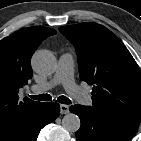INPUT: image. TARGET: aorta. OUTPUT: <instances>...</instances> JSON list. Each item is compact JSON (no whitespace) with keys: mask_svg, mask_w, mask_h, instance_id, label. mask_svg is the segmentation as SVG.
<instances>
[{"mask_svg":"<svg viewBox=\"0 0 141 141\" xmlns=\"http://www.w3.org/2000/svg\"><path fill=\"white\" fill-rule=\"evenodd\" d=\"M32 68L39 74L51 75L56 69L54 55L48 50L36 51L31 59ZM62 126L68 132H76L81 122L76 114L68 113L62 119Z\"/></svg>","mask_w":141,"mask_h":141,"instance_id":"aorta-1","label":"aorta"}]
</instances>
